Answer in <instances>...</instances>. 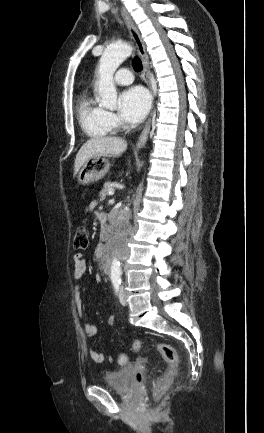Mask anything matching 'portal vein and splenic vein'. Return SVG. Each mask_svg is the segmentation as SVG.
<instances>
[{
  "instance_id": "obj_1",
  "label": "portal vein and splenic vein",
  "mask_w": 264,
  "mask_h": 433,
  "mask_svg": "<svg viewBox=\"0 0 264 433\" xmlns=\"http://www.w3.org/2000/svg\"><path fill=\"white\" fill-rule=\"evenodd\" d=\"M108 194H109V195H113V194H114V191H113V190H110V191L108 192Z\"/></svg>"
}]
</instances>
